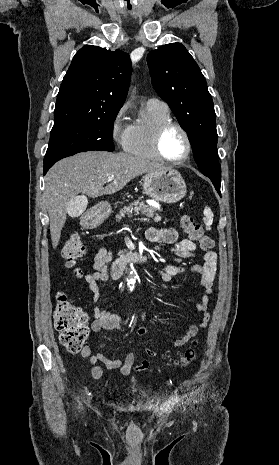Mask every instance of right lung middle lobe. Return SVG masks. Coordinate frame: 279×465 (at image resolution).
<instances>
[{
    "mask_svg": "<svg viewBox=\"0 0 279 465\" xmlns=\"http://www.w3.org/2000/svg\"><path fill=\"white\" fill-rule=\"evenodd\" d=\"M118 111H110L99 118L54 125L44 158V167L52 166L64 157L83 151H113L112 130Z\"/></svg>",
    "mask_w": 279,
    "mask_h": 465,
    "instance_id": "obj_1",
    "label": "right lung middle lobe"
}]
</instances>
